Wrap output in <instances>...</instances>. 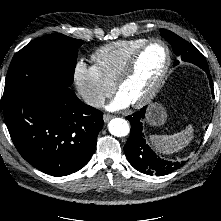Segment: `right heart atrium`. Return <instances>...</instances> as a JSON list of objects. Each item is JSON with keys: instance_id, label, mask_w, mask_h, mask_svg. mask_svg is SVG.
I'll use <instances>...</instances> for the list:
<instances>
[{"instance_id": "1", "label": "right heart atrium", "mask_w": 221, "mask_h": 221, "mask_svg": "<svg viewBox=\"0 0 221 221\" xmlns=\"http://www.w3.org/2000/svg\"><path fill=\"white\" fill-rule=\"evenodd\" d=\"M73 80L81 99L89 106H98L113 91V84L108 82L95 65L84 61L77 62Z\"/></svg>"}]
</instances>
